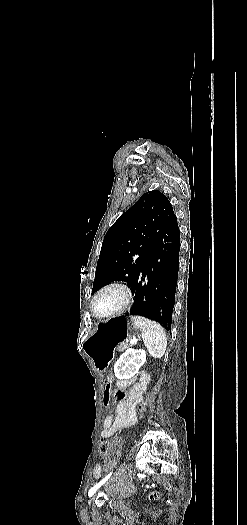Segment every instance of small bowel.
Masks as SVG:
<instances>
[{"mask_svg":"<svg viewBox=\"0 0 247 525\" xmlns=\"http://www.w3.org/2000/svg\"><path fill=\"white\" fill-rule=\"evenodd\" d=\"M150 382L149 374L139 372L133 381L130 392L118 401L114 416L109 415L104 419L101 437L108 439L117 430L128 426L135 417V407L141 402ZM118 457L117 453H111L107 457L108 463H113ZM102 474V466L97 464L93 470V476L99 478Z\"/></svg>","mask_w":247,"mask_h":525,"instance_id":"obj_1","label":"small bowel"}]
</instances>
